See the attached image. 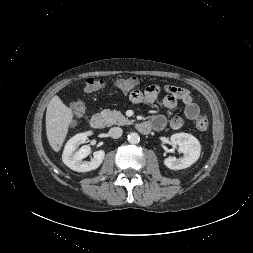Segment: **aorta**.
<instances>
[{"label":"aorta","instance_id":"1","mask_svg":"<svg viewBox=\"0 0 253 253\" xmlns=\"http://www.w3.org/2000/svg\"><path fill=\"white\" fill-rule=\"evenodd\" d=\"M127 140L131 144H137L140 141L139 134L136 132H131L128 134Z\"/></svg>","mask_w":253,"mask_h":253}]
</instances>
